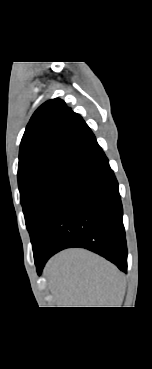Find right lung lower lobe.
Wrapping results in <instances>:
<instances>
[{"instance_id": "right-lung-lower-lobe-1", "label": "right lung lower lobe", "mask_w": 152, "mask_h": 369, "mask_svg": "<svg viewBox=\"0 0 152 369\" xmlns=\"http://www.w3.org/2000/svg\"><path fill=\"white\" fill-rule=\"evenodd\" d=\"M118 182L99 145L75 166L34 249L38 274L65 248L93 251L127 271V246Z\"/></svg>"}]
</instances>
